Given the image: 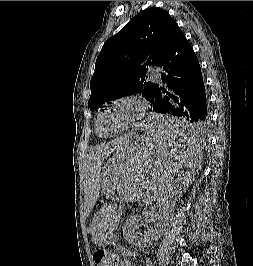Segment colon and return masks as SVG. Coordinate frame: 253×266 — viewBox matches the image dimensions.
<instances>
[{
	"label": "colon",
	"mask_w": 253,
	"mask_h": 266,
	"mask_svg": "<svg viewBox=\"0 0 253 266\" xmlns=\"http://www.w3.org/2000/svg\"><path fill=\"white\" fill-rule=\"evenodd\" d=\"M93 258L96 266H118L117 257L104 250L96 251Z\"/></svg>",
	"instance_id": "1"
}]
</instances>
